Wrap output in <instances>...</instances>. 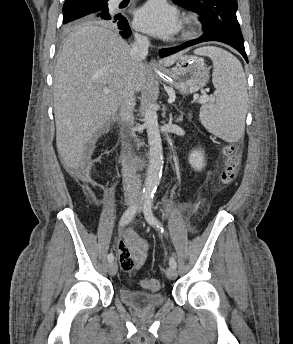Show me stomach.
Instances as JSON below:
<instances>
[{
	"label": "stomach",
	"mask_w": 293,
	"mask_h": 344,
	"mask_svg": "<svg viewBox=\"0 0 293 344\" xmlns=\"http://www.w3.org/2000/svg\"><path fill=\"white\" fill-rule=\"evenodd\" d=\"M159 77L179 90L182 94H192L204 87L209 80V69L203 58L182 55L174 67L158 72Z\"/></svg>",
	"instance_id": "stomach-1"
}]
</instances>
